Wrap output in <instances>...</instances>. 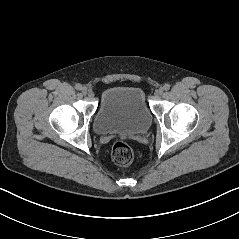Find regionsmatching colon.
<instances>
[{"label": "colon", "instance_id": "colon-1", "mask_svg": "<svg viewBox=\"0 0 239 239\" xmlns=\"http://www.w3.org/2000/svg\"><path fill=\"white\" fill-rule=\"evenodd\" d=\"M111 157L115 164L128 166L133 162L134 152L127 143L116 141L111 147Z\"/></svg>", "mask_w": 239, "mask_h": 239}]
</instances>
